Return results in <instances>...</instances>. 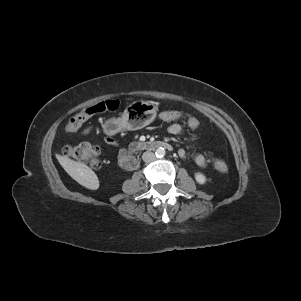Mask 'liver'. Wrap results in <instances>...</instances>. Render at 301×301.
<instances>
[{
    "label": "liver",
    "instance_id": "liver-1",
    "mask_svg": "<svg viewBox=\"0 0 301 301\" xmlns=\"http://www.w3.org/2000/svg\"><path fill=\"white\" fill-rule=\"evenodd\" d=\"M56 158L64 170L80 185L91 190H97L99 188L97 175L87 165L59 154L56 155Z\"/></svg>",
    "mask_w": 301,
    "mask_h": 301
}]
</instances>
